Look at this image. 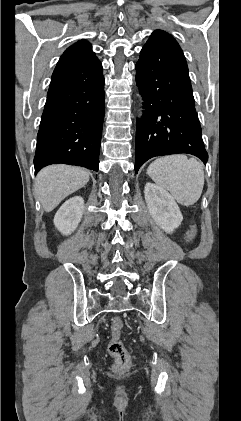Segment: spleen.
<instances>
[{"mask_svg":"<svg viewBox=\"0 0 241 421\" xmlns=\"http://www.w3.org/2000/svg\"><path fill=\"white\" fill-rule=\"evenodd\" d=\"M147 174L161 188L183 206L196 203L204 186V170L201 162L185 155L165 156L153 161Z\"/></svg>","mask_w":241,"mask_h":421,"instance_id":"obj_1","label":"spleen"}]
</instances>
